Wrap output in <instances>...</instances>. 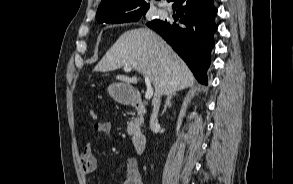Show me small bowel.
<instances>
[{"label":"small bowel","mask_w":293,"mask_h":184,"mask_svg":"<svg viewBox=\"0 0 293 184\" xmlns=\"http://www.w3.org/2000/svg\"><path fill=\"white\" fill-rule=\"evenodd\" d=\"M94 130L109 136L112 132V125L109 122H97L94 124ZM81 167L86 175L91 174L95 170L96 158L90 142H87L82 150ZM124 168L126 176L122 184H143L138 162L135 158H128Z\"/></svg>","instance_id":"obj_1"}]
</instances>
